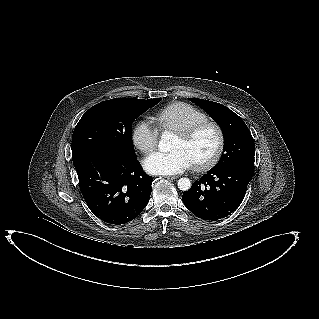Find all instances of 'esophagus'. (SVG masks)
Here are the masks:
<instances>
[{
    "mask_svg": "<svg viewBox=\"0 0 319 319\" xmlns=\"http://www.w3.org/2000/svg\"><path fill=\"white\" fill-rule=\"evenodd\" d=\"M166 178L169 180H175L178 178V176H166Z\"/></svg>",
    "mask_w": 319,
    "mask_h": 319,
    "instance_id": "obj_1",
    "label": "esophagus"
}]
</instances>
